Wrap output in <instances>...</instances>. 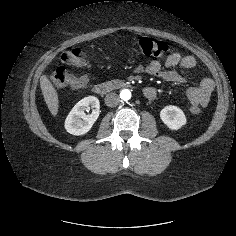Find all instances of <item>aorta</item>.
<instances>
[{
	"label": "aorta",
	"instance_id": "aorta-1",
	"mask_svg": "<svg viewBox=\"0 0 236 236\" xmlns=\"http://www.w3.org/2000/svg\"><path fill=\"white\" fill-rule=\"evenodd\" d=\"M120 98H121L123 101H128V100L131 98V91L128 90V89H123V90L120 92Z\"/></svg>",
	"mask_w": 236,
	"mask_h": 236
}]
</instances>
